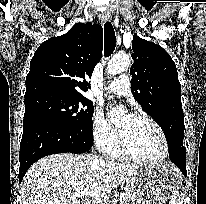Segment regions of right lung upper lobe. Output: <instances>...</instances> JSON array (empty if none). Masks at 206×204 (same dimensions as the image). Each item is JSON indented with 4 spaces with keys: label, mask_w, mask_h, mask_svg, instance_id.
I'll return each mask as SVG.
<instances>
[{
    "label": "right lung upper lobe",
    "mask_w": 206,
    "mask_h": 204,
    "mask_svg": "<svg viewBox=\"0 0 206 204\" xmlns=\"http://www.w3.org/2000/svg\"><path fill=\"white\" fill-rule=\"evenodd\" d=\"M102 49V27L91 23H77L66 34L43 42L30 62L25 98L47 93L83 97Z\"/></svg>",
    "instance_id": "1"
}]
</instances>
